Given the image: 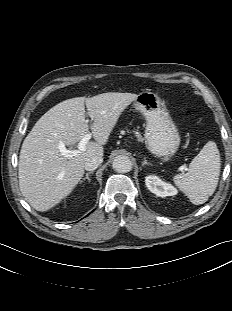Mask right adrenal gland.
Masks as SVG:
<instances>
[{
    "instance_id": "obj_1",
    "label": "right adrenal gland",
    "mask_w": 232,
    "mask_h": 311,
    "mask_svg": "<svg viewBox=\"0 0 232 311\" xmlns=\"http://www.w3.org/2000/svg\"><path fill=\"white\" fill-rule=\"evenodd\" d=\"M92 173H93V171L87 172L86 176L80 181V183H83L85 180H88V182H90L91 179L89 178V175Z\"/></svg>"
}]
</instances>
